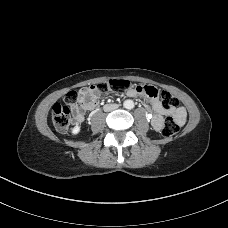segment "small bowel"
<instances>
[{"label": "small bowel", "mask_w": 228, "mask_h": 228, "mask_svg": "<svg viewBox=\"0 0 228 228\" xmlns=\"http://www.w3.org/2000/svg\"><path fill=\"white\" fill-rule=\"evenodd\" d=\"M126 95L130 98H135L139 93L130 88L127 89ZM100 97V91L95 86H89L82 88L79 91V99L72 109L75 112V119L78 124H82L84 121V114L86 111L94 110L98 105V99ZM152 106L157 115L152 118L153 128L157 131L161 130L164 124V113L166 112L158 98L152 99ZM173 114L179 124H184L186 121V111L183 107H178L173 111Z\"/></svg>", "instance_id": "small-bowel-1"}]
</instances>
